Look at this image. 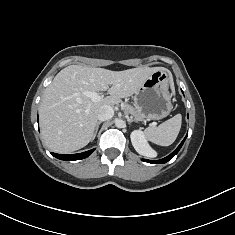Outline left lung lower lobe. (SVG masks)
I'll use <instances>...</instances> for the list:
<instances>
[{"label": "left lung lower lobe", "mask_w": 235, "mask_h": 235, "mask_svg": "<svg viewBox=\"0 0 235 235\" xmlns=\"http://www.w3.org/2000/svg\"><path fill=\"white\" fill-rule=\"evenodd\" d=\"M186 137L184 138V140L180 143V145L177 147V149L175 151H173L170 155H168L167 157L161 159V160H155V161H152V160H146V159H143V161L145 162H148V163H155V164H162V163H166L168 162L169 160H171L178 152L179 150L181 149L184 141H185Z\"/></svg>", "instance_id": "0a47b994"}]
</instances>
